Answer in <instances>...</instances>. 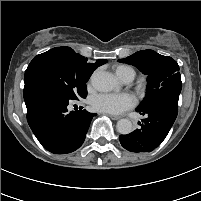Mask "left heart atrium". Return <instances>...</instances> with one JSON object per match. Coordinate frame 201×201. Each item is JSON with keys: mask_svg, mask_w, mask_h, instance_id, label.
<instances>
[{"mask_svg": "<svg viewBox=\"0 0 201 201\" xmlns=\"http://www.w3.org/2000/svg\"><path fill=\"white\" fill-rule=\"evenodd\" d=\"M135 104L133 96L128 93L98 94L92 99V107L99 112L119 114Z\"/></svg>", "mask_w": 201, "mask_h": 201, "instance_id": "1", "label": "left heart atrium"}]
</instances>
